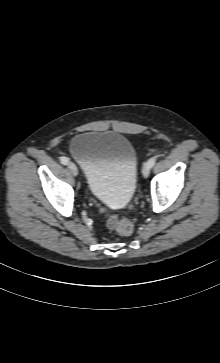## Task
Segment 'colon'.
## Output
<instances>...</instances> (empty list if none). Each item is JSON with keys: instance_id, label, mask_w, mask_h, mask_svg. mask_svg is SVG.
I'll list each match as a JSON object with an SVG mask.
<instances>
[{"instance_id": "5ec220e1", "label": "colon", "mask_w": 220, "mask_h": 363, "mask_svg": "<svg viewBox=\"0 0 220 363\" xmlns=\"http://www.w3.org/2000/svg\"><path fill=\"white\" fill-rule=\"evenodd\" d=\"M107 225L121 236H128L134 231L133 221L125 216L108 215Z\"/></svg>"}]
</instances>
